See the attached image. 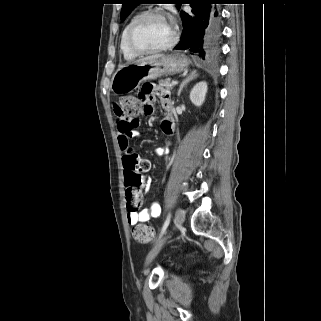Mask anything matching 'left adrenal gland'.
<instances>
[{
  "mask_svg": "<svg viewBox=\"0 0 321 321\" xmlns=\"http://www.w3.org/2000/svg\"><path fill=\"white\" fill-rule=\"evenodd\" d=\"M198 77L197 71L194 70L187 75V77L182 81L179 90H178V96H180V93L182 89L192 80L196 79Z\"/></svg>",
  "mask_w": 321,
  "mask_h": 321,
  "instance_id": "a2214340",
  "label": "left adrenal gland"
}]
</instances>
